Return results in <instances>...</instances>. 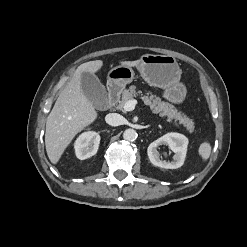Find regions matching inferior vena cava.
<instances>
[{"mask_svg": "<svg viewBox=\"0 0 247 247\" xmlns=\"http://www.w3.org/2000/svg\"><path fill=\"white\" fill-rule=\"evenodd\" d=\"M105 121L111 126H119L123 124V117L117 113H109L106 115Z\"/></svg>", "mask_w": 247, "mask_h": 247, "instance_id": "602c4592", "label": "inferior vena cava"}]
</instances>
